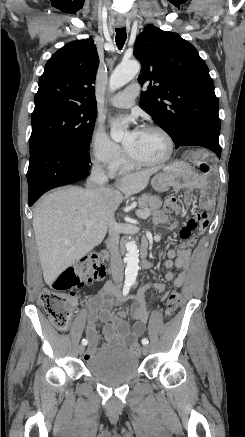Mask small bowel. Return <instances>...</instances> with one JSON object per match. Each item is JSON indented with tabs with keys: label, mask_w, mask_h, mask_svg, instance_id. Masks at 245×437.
<instances>
[{
	"label": "small bowel",
	"mask_w": 245,
	"mask_h": 437,
	"mask_svg": "<svg viewBox=\"0 0 245 437\" xmlns=\"http://www.w3.org/2000/svg\"><path fill=\"white\" fill-rule=\"evenodd\" d=\"M186 156L190 163H196L203 168H208L211 162L206 154H202L200 150H188ZM194 187L202 190L201 206L204 211L200 212L195 218H190L179 232L180 246L177 250H169L167 253L168 259L164 266L168 269L165 274L166 281L172 283L174 287H180L186 277V270L189 266L192 248L197 242L198 236L205 231L209 224V210L213 205L214 186L211 185L205 177L198 176L194 181ZM192 196L188 195L186 204L190 205ZM176 212L182 213V209L174 204L172 207ZM155 220L164 222L165 215L163 212L157 214ZM196 230L197 234L192 235V231ZM175 267L181 272L175 276L171 269ZM112 285L106 284L98 291L89 301L90 314L86 325V336L89 340V346L85 354L86 358H91L97 352L98 332L97 322L103 323V335L105 344L102 349H110L112 347H126L134 343L145 332V326L148 321L149 311L146 305V293L150 290H155L163 297H166L168 292L165 290V285L162 283H146L131 300L129 310L135 319L132 328L125 320L126 311L119 310L117 313H112V299L110 293Z\"/></svg>",
	"instance_id": "c3829d8e"
}]
</instances>
